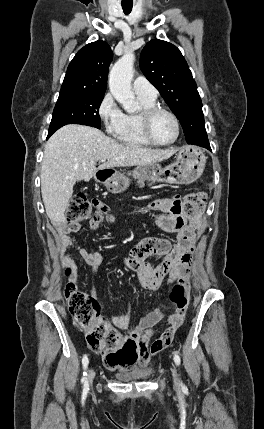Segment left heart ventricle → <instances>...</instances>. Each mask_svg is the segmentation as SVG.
<instances>
[{
    "label": "left heart ventricle",
    "instance_id": "b2bd125f",
    "mask_svg": "<svg viewBox=\"0 0 264 429\" xmlns=\"http://www.w3.org/2000/svg\"><path fill=\"white\" fill-rule=\"evenodd\" d=\"M151 128L153 136L160 142H169L176 134L173 119L164 113H159L154 117Z\"/></svg>",
    "mask_w": 264,
    "mask_h": 429
}]
</instances>
